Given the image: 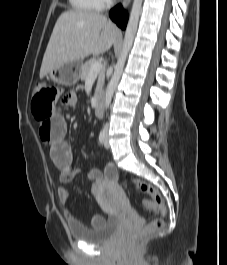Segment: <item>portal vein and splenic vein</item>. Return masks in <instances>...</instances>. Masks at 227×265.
I'll return each instance as SVG.
<instances>
[{
    "label": "portal vein and splenic vein",
    "instance_id": "18ae733b",
    "mask_svg": "<svg viewBox=\"0 0 227 265\" xmlns=\"http://www.w3.org/2000/svg\"><path fill=\"white\" fill-rule=\"evenodd\" d=\"M102 69V63L96 62L90 67L89 76H96Z\"/></svg>",
    "mask_w": 227,
    "mask_h": 265
}]
</instances>
